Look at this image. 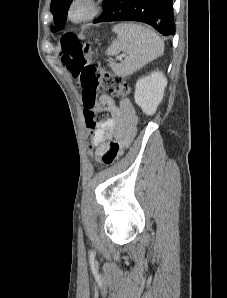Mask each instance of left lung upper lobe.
Here are the masks:
<instances>
[{
	"label": "left lung upper lobe",
	"mask_w": 227,
	"mask_h": 298,
	"mask_svg": "<svg viewBox=\"0 0 227 298\" xmlns=\"http://www.w3.org/2000/svg\"><path fill=\"white\" fill-rule=\"evenodd\" d=\"M73 0H51L50 10L54 16L55 26L52 27V31L62 30L64 28L67 11ZM109 0H103L104 10ZM104 12V11H103ZM100 18V17H99ZM99 18L93 22L97 23Z\"/></svg>",
	"instance_id": "1"
}]
</instances>
